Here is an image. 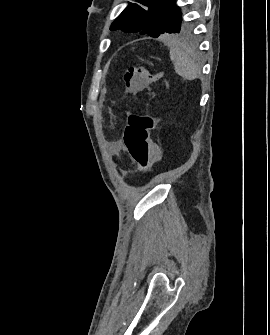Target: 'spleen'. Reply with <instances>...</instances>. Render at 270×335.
<instances>
[{"mask_svg": "<svg viewBox=\"0 0 270 335\" xmlns=\"http://www.w3.org/2000/svg\"><path fill=\"white\" fill-rule=\"evenodd\" d=\"M169 56L171 62L174 64L176 74L182 76L184 80H195L198 74H200V68L198 64H195V62L191 60L185 42L173 40L170 44Z\"/></svg>", "mask_w": 270, "mask_h": 335, "instance_id": "spleen-1", "label": "spleen"}]
</instances>
